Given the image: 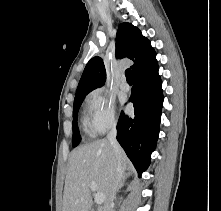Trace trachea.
Here are the masks:
<instances>
[{"instance_id": "trachea-1", "label": "trachea", "mask_w": 221, "mask_h": 211, "mask_svg": "<svg viewBox=\"0 0 221 211\" xmlns=\"http://www.w3.org/2000/svg\"><path fill=\"white\" fill-rule=\"evenodd\" d=\"M125 76L128 82H132V72L130 69H126Z\"/></svg>"}]
</instances>
